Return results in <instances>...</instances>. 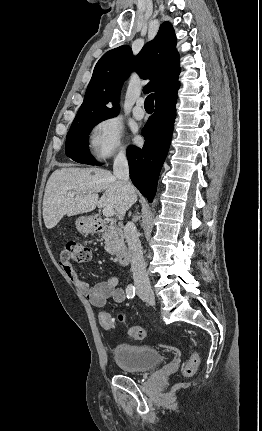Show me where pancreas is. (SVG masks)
Listing matches in <instances>:
<instances>
[{"label": "pancreas", "mask_w": 262, "mask_h": 431, "mask_svg": "<svg viewBox=\"0 0 262 431\" xmlns=\"http://www.w3.org/2000/svg\"><path fill=\"white\" fill-rule=\"evenodd\" d=\"M102 238L105 240V249L112 255L118 254L125 247L122 230L114 223L110 224Z\"/></svg>", "instance_id": "cf45deb5"}]
</instances>
